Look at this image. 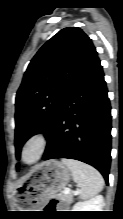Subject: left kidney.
Instances as JSON below:
<instances>
[{
  "mask_svg": "<svg viewBox=\"0 0 123 219\" xmlns=\"http://www.w3.org/2000/svg\"><path fill=\"white\" fill-rule=\"evenodd\" d=\"M103 197L96 196L85 202H78L73 206L72 211H102Z\"/></svg>",
  "mask_w": 123,
  "mask_h": 219,
  "instance_id": "5707ae66",
  "label": "left kidney"
}]
</instances>
